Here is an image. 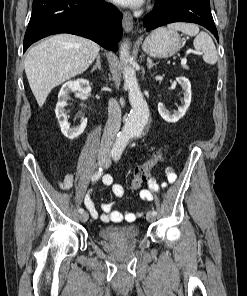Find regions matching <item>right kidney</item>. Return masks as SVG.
<instances>
[{
  "label": "right kidney",
  "instance_id": "ca27d5eb",
  "mask_svg": "<svg viewBox=\"0 0 247 296\" xmlns=\"http://www.w3.org/2000/svg\"><path fill=\"white\" fill-rule=\"evenodd\" d=\"M80 92L88 94L91 92V87L89 85V81L86 79H77L74 81H68L63 84L59 94H58V103L55 108V114L58 119L61 132L68 139H75L79 135H81L86 126H87V118H82L80 121V125L77 127H70V123L68 122L67 114L65 107L67 105V100L70 98V93Z\"/></svg>",
  "mask_w": 247,
  "mask_h": 296
}]
</instances>
